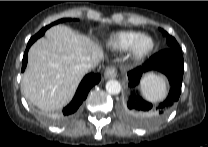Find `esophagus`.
Instances as JSON below:
<instances>
[{
  "label": "esophagus",
  "mask_w": 208,
  "mask_h": 147,
  "mask_svg": "<svg viewBox=\"0 0 208 147\" xmlns=\"http://www.w3.org/2000/svg\"><path fill=\"white\" fill-rule=\"evenodd\" d=\"M117 76V69L114 66H110L106 68L104 72V77L106 79L115 78Z\"/></svg>",
  "instance_id": "obj_1"
}]
</instances>
